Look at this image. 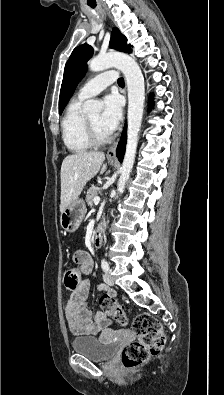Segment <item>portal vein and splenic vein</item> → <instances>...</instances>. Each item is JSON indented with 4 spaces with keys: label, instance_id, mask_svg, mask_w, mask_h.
I'll return each mask as SVG.
<instances>
[{
    "label": "portal vein and splenic vein",
    "instance_id": "portal-vein-and-splenic-vein-1",
    "mask_svg": "<svg viewBox=\"0 0 224 395\" xmlns=\"http://www.w3.org/2000/svg\"><path fill=\"white\" fill-rule=\"evenodd\" d=\"M100 202V198L99 197H95L94 198V204L97 205Z\"/></svg>",
    "mask_w": 224,
    "mask_h": 395
}]
</instances>
